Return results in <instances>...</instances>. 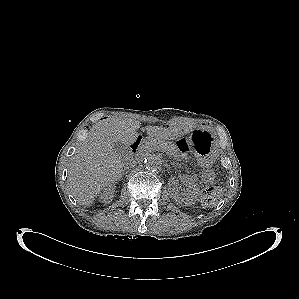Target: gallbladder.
I'll return each instance as SVG.
<instances>
[{
    "label": "gallbladder",
    "mask_w": 299,
    "mask_h": 299,
    "mask_svg": "<svg viewBox=\"0 0 299 299\" xmlns=\"http://www.w3.org/2000/svg\"><path fill=\"white\" fill-rule=\"evenodd\" d=\"M113 149L115 153H117L121 157H125L130 154L129 148L126 145L122 144L121 142H115L113 145Z\"/></svg>",
    "instance_id": "bac80fb5"
}]
</instances>
